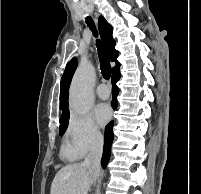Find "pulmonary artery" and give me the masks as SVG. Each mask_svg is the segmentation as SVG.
Here are the masks:
<instances>
[{"mask_svg": "<svg viewBox=\"0 0 201 194\" xmlns=\"http://www.w3.org/2000/svg\"><path fill=\"white\" fill-rule=\"evenodd\" d=\"M96 94L100 99H107L110 95L109 89L105 84H100L96 88Z\"/></svg>", "mask_w": 201, "mask_h": 194, "instance_id": "1", "label": "pulmonary artery"}]
</instances>
